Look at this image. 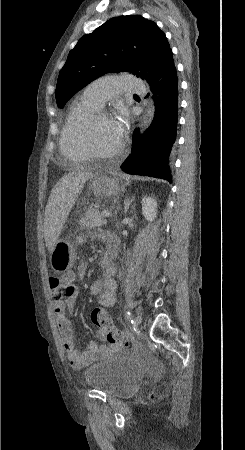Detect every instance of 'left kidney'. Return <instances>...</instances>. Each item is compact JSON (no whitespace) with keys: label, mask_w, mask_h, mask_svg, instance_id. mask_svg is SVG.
I'll return each instance as SVG.
<instances>
[{"label":"left kidney","mask_w":245,"mask_h":450,"mask_svg":"<svg viewBox=\"0 0 245 450\" xmlns=\"http://www.w3.org/2000/svg\"><path fill=\"white\" fill-rule=\"evenodd\" d=\"M142 214L148 221H153L157 214V202L151 197L142 199Z\"/></svg>","instance_id":"1"}]
</instances>
